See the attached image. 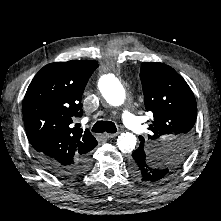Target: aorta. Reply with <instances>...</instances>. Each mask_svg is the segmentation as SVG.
I'll return each mask as SVG.
<instances>
[{
    "label": "aorta",
    "instance_id": "762f6f07",
    "mask_svg": "<svg viewBox=\"0 0 221 221\" xmlns=\"http://www.w3.org/2000/svg\"><path fill=\"white\" fill-rule=\"evenodd\" d=\"M99 90L104 99L112 106H120L125 101V90L120 81L112 74L100 78ZM137 138L133 133H121L117 139V147L121 152L129 153L134 150Z\"/></svg>",
    "mask_w": 221,
    "mask_h": 221
}]
</instances>
